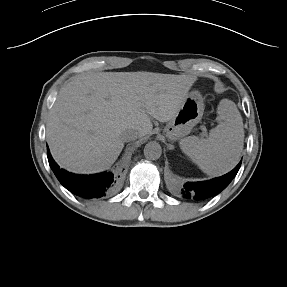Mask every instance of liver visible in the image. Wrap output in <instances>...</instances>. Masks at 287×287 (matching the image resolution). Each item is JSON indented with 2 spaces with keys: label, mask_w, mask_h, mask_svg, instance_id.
<instances>
[{
  "label": "liver",
  "mask_w": 287,
  "mask_h": 287,
  "mask_svg": "<svg viewBox=\"0 0 287 287\" xmlns=\"http://www.w3.org/2000/svg\"><path fill=\"white\" fill-rule=\"evenodd\" d=\"M195 76L136 72L85 73L63 86L49 113L46 138L55 161L83 174L108 169L128 129L140 136L151 117L168 122L179 112Z\"/></svg>",
  "instance_id": "liver-1"
}]
</instances>
